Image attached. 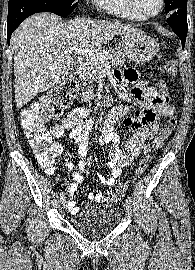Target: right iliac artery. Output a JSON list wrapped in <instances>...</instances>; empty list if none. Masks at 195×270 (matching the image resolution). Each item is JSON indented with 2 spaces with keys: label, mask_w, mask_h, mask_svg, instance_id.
<instances>
[{
  "label": "right iliac artery",
  "mask_w": 195,
  "mask_h": 270,
  "mask_svg": "<svg viewBox=\"0 0 195 270\" xmlns=\"http://www.w3.org/2000/svg\"><path fill=\"white\" fill-rule=\"evenodd\" d=\"M64 197V192L60 193V199H62Z\"/></svg>",
  "instance_id": "right-iliac-artery-1"
}]
</instances>
